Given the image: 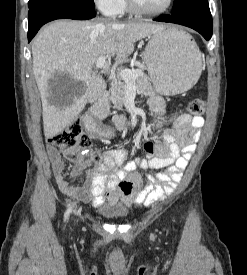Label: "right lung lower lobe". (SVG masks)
<instances>
[{
    "label": "right lung lower lobe",
    "mask_w": 247,
    "mask_h": 275,
    "mask_svg": "<svg viewBox=\"0 0 247 275\" xmlns=\"http://www.w3.org/2000/svg\"><path fill=\"white\" fill-rule=\"evenodd\" d=\"M96 16L94 9L79 8L63 3H53L30 8L28 12V40L36 35L45 23L56 19L87 20Z\"/></svg>",
    "instance_id": "1"
}]
</instances>
